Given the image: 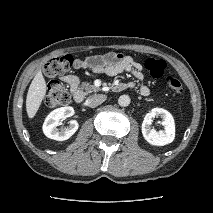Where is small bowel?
I'll return each instance as SVG.
<instances>
[{"mask_svg": "<svg viewBox=\"0 0 213 213\" xmlns=\"http://www.w3.org/2000/svg\"><path fill=\"white\" fill-rule=\"evenodd\" d=\"M75 69H90L97 74L116 76L121 73L131 74L136 82L140 84V94L148 96L149 87L144 84V75L142 73L141 63L135 61L130 56L122 54L108 53L105 55H93L82 59H76L73 63ZM62 80L70 87L72 93L79 90L80 78L75 74H65ZM134 86L133 82L128 83Z\"/></svg>", "mask_w": 213, "mask_h": 213, "instance_id": "1", "label": "small bowel"}]
</instances>
